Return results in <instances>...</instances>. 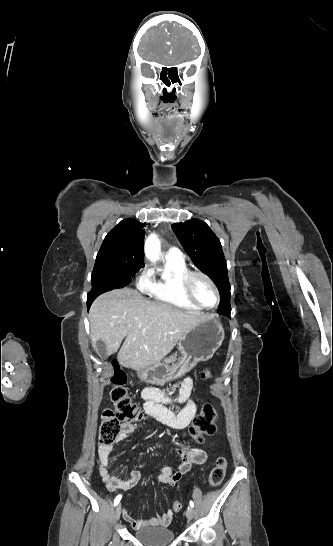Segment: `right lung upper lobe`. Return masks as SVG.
<instances>
[{"label": "right lung upper lobe", "instance_id": "obj_1", "mask_svg": "<svg viewBox=\"0 0 333 546\" xmlns=\"http://www.w3.org/2000/svg\"><path fill=\"white\" fill-rule=\"evenodd\" d=\"M145 225L132 218L122 220L106 235L97 255L121 256L132 268L143 267Z\"/></svg>", "mask_w": 333, "mask_h": 546}]
</instances>
